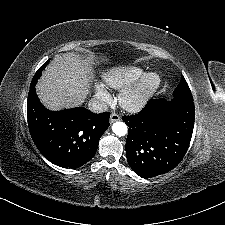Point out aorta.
<instances>
[{
  "mask_svg": "<svg viewBox=\"0 0 225 225\" xmlns=\"http://www.w3.org/2000/svg\"><path fill=\"white\" fill-rule=\"evenodd\" d=\"M112 131L117 136H125L128 132V128L124 122L117 121V122L113 123Z\"/></svg>",
  "mask_w": 225,
  "mask_h": 225,
  "instance_id": "aorta-1",
  "label": "aorta"
}]
</instances>
